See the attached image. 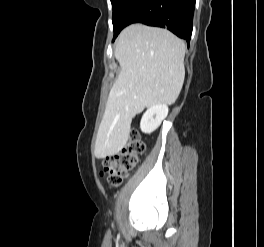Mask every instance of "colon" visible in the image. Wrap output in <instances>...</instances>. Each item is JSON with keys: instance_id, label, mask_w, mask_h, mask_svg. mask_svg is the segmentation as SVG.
Segmentation results:
<instances>
[{"instance_id": "1", "label": "colon", "mask_w": 264, "mask_h": 247, "mask_svg": "<svg viewBox=\"0 0 264 247\" xmlns=\"http://www.w3.org/2000/svg\"><path fill=\"white\" fill-rule=\"evenodd\" d=\"M146 152L144 142L132 134L127 144L118 153L107 158L103 163L102 174L106 176L110 187H117L139 163Z\"/></svg>"}]
</instances>
